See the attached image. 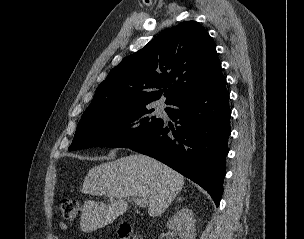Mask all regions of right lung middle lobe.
<instances>
[{"label": "right lung middle lobe", "mask_w": 304, "mask_h": 239, "mask_svg": "<svg viewBox=\"0 0 304 239\" xmlns=\"http://www.w3.org/2000/svg\"><path fill=\"white\" fill-rule=\"evenodd\" d=\"M146 105L122 106L81 118L69 151L94 146L129 148L162 122Z\"/></svg>", "instance_id": "1"}]
</instances>
